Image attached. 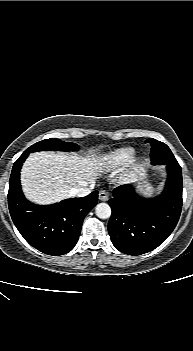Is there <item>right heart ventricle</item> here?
Segmentation results:
<instances>
[{"label":"right heart ventricle","instance_id":"1","mask_svg":"<svg viewBox=\"0 0 193 351\" xmlns=\"http://www.w3.org/2000/svg\"><path fill=\"white\" fill-rule=\"evenodd\" d=\"M132 159L131 149H120L110 153L105 160L114 165L124 164Z\"/></svg>","mask_w":193,"mask_h":351}]
</instances>
